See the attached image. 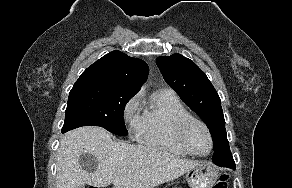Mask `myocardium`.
Segmentation results:
<instances>
[{
    "instance_id": "f54148a6",
    "label": "myocardium",
    "mask_w": 292,
    "mask_h": 188,
    "mask_svg": "<svg viewBox=\"0 0 292 188\" xmlns=\"http://www.w3.org/2000/svg\"><path fill=\"white\" fill-rule=\"evenodd\" d=\"M192 124H198V125L202 126L203 129L205 130L208 138H209L210 147H209V150L204 154H200V153L194 151L193 148L188 143L187 131ZM176 134H177V138H178L179 143L183 146V148L187 152H189L192 155L200 156V157L208 156L213 149L214 142H213L212 133H211L208 125L203 120H201L199 118L189 116V117L182 119L177 125Z\"/></svg>"
}]
</instances>
